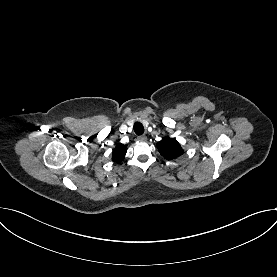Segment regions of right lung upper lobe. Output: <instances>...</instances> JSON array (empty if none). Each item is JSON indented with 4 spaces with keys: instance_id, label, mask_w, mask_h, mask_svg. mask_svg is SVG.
<instances>
[{
    "instance_id": "right-lung-upper-lobe-1",
    "label": "right lung upper lobe",
    "mask_w": 277,
    "mask_h": 277,
    "mask_svg": "<svg viewBox=\"0 0 277 277\" xmlns=\"http://www.w3.org/2000/svg\"><path fill=\"white\" fill-rule=\"evenodd\" d=\"M126 151L127 150L125 145L121 143L117 144V146L113 150L112 160L117 163L121 162L125 157Z\"/></svg>"
}]
</instances>
